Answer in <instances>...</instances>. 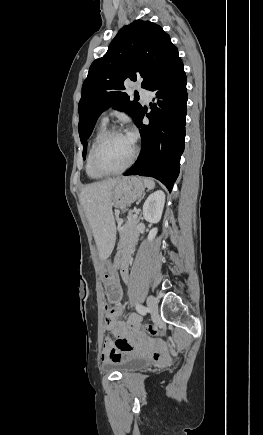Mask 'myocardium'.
<instances>
[{
    "mask_svg": "<svg viewBox=\"0 0 263 435\" xmlns=\"http://www.w3.org/2000/svg\"><path fill=\"white\" fill-rule=\"evenodd\" d=\"M115 135H125L124 132L119 129V128H110L108 130H106L100 137L99 139L96 141V143L93 146L92 149V153H91V165L92 168L99 174L103 175V176H108V175H116V174H120L123 173L124 171H126L135 161L137 154H138V148L137 146L134 144L133 147V152L129 158V160L126 162V164H124L122 167L118 168V169H114V170H108L103 168L99 163H98V153L100 148L102 147V145L112 136Z\"/></svg>",
    "mask_w": 263,
    "mask_h": 435,
    "instance_id": "f54148a6",
    "label": "myocardium"
}]
</instances>
